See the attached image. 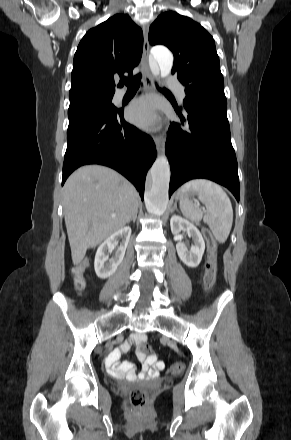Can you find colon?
I'll return each instance as SVG.
<instances>
[{
  "label": "colon",
  "instance_id": "1",
  "mask_svg": "<svg viewBox=\"0 0 291 440\" xmlns=\"http://www.w3.org/2000/svg\"><path fill=\"white\" fill-rule=\"evenodd\" d=\"M205 240L207 245V264L204 276V286L207 291H211L213 289L217 273V242L208 231H205ZM88 264V259H83L77 268L76 285L78 287L83 286V282L79 274L88 266ZM138 353L140 356H147L154 360L157 359V355L152 351L147 343H142L140 345ZM129 400L134 408H143L148 404L149 392L144 387L133 388L130 392Z\"/></svg>",
  "mask_w": 291,
  "mask_h": 440
}]
</instances>
